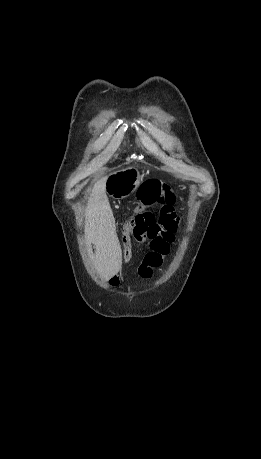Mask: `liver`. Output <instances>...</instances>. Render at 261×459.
<instances>
[{
  "label": "liver",
  "mask_w": 261,
  "mask_h": 459,
  "mask_svg": "<svg viewBox=\"0 0 261 459\" xmlns=\"http://www.w3.org/2000/svg\"><path fill=\"white\" fill-rule=\"evenodd\" d=\"M106 178L91 190L85 218V239L94 245V264L102 278L110 279L120 271L122 251L115 233L111 209L106 198Z\"/></svg>",
  "instance_id": "1"
}]
</instances>
